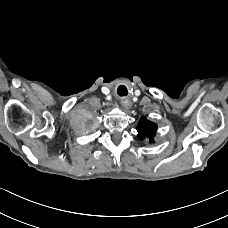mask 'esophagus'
Here are the masks:
<instances>
[{
    "label": "esophagus",
    "mask_w": 228,
    "mask_h": 228,
    "mask_svg": "<svg viewBox=\"0 0 228 228\" xmlns=\"http://www.w3.org/2000/svg\"><path fill=\"white\" fill-rule=\"evenodd\" d=\"M121 103H122L123 107L126 110H129L131 108V102H130V100L124 98V99L121 100Z\"/></svg>",
    "instance_id": "esophagus-1"
}]
</instances>
